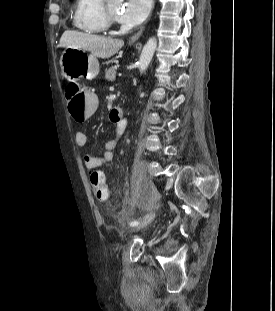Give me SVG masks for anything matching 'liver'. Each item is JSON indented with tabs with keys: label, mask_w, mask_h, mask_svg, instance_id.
<instances>
[{
	"label": "liver",
	"mask_w": 275,
	"mask_h": 311,
	"mask_svg": "<svg viewBox=\"0 0 275 311\" xmlns=\"http://www.w3.org/2000/svg\"><path fill=\"white\" fill-rule=\"evenodd\" d=\"M124 45L122 39H113L79 31H65L59 46L90 51L96 57L107 59L115 55Z\"/></svg>",
	"instance_id": "6515ba94"
}]
</instances>
